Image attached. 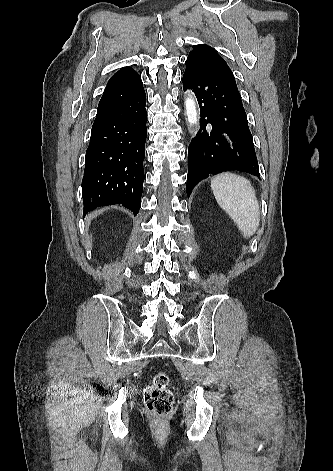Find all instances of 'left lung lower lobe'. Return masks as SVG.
I'll list each match as a JSON object with an SVG mask.
<instances>
[{"instance_id": "0a47b994", "label": "left lung lower lobe", "mask_w": 333, "mask_h": 471, "mask_svg": "<svg viewBox=\"0 0 333 471\" xmlns=\"http://www.w3.org/2000/svg\"><path fill=\"white\" fill-rule=\"evenodd\" d=\"M183 89H192L200 107V129L188 149L187 195L201 179L226 170L258 178L259 166L241 96L235 84L204 54L190 53Z\"/></svg>"}]
</instances>
